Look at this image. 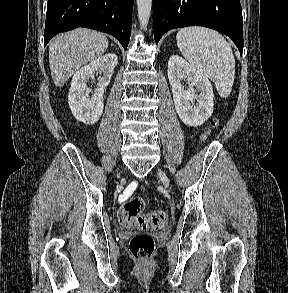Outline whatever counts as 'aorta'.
<instances>
[{
    "mask_svg": "<svg viewBox=\"0 0 288 293\" xmlns=\"http://www.w3.org/2000/svg\"><path fill=\"white\" fill-rule=\"evenodd\" d=\"M152 7V0H137V11L140 26L146 28Z\"/></svg>",
    "mask_w": 288,
    "mask_h": 293,
    "instance_id": "obj_1",
    "label": "aorta"
}]
</instances>
